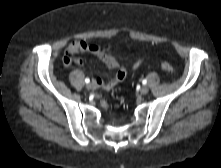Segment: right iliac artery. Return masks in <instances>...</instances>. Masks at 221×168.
I'll return each instance as SVG.
<instances>
[{
  "label": "right iliac artery",
  "instance_id": "82829eb1",
  "mask_svg": "<svg viewBox=\"0 0 221 168\" xmlns=\"http://www.w3.org/2000/svg\"><path fill=\"white\" fill-rule=\"evenodd\" d=\"M89 82H90L89 78H86V79H85V83L88 84Z\"/></svg>",
  "mask_w": 221,
  "mask_h": 168
}]
</instances>
